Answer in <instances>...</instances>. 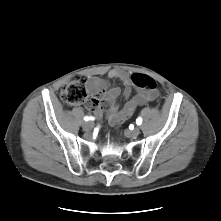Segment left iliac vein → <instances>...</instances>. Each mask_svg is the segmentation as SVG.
Segmentation results:
<instances>
[{
    "label": "left iliac vein",
    "mask_w": 221,
    "mask_h": 221,
    "mask_svg": "<svg viewBox=\"0 0 221 221\" xmlns=\"http://www.w3.org/2000/svg\"><path fill=\"white\" fill-rule=\"evenodd\" d=\"M140 134V128L139 127H135L133 130L128 131V135L130 137H137Z\"/></svg>",
    "instance_id": "obj_1"
}]
</instances>
